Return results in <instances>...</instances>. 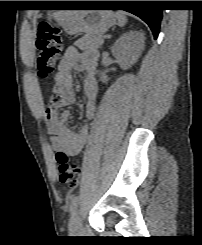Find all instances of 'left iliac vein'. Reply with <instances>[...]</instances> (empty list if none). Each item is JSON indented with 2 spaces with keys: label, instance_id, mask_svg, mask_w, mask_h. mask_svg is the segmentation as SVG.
I'll use <instances>...</instances> for the list:
<instances>
[{
  "label": "left iliac vein",
  "instance_id": "obj_1",
  "mask_svg": "<svg viewBox=\"0 0 202 245\" xmlns=\"http://www.w3.org/2000/svg\"><path fill=\"white\" fill-rule=\"evenodd\" d=\"M82 218H81V214L78 210H75L70 218V232L73 234H77L81 231L82 228Z\"/></svg>",
  "mask_w": 202,
  "mask_h": 245
}]
</instances>
